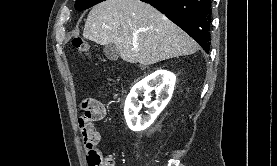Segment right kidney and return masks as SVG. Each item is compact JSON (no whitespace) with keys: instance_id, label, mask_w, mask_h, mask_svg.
Returning <instances> with one entry per match:
<instances>
[{"instance_id":"ca27d5eb","label":"right kidney","mask_w":277,"mask_h":166,"mask_svg":"<svg viewBox=\"0 0 277 166\" xmlns=\"http://www.w3.org/2000/svg\"><path fill=\"white\" fill-rule=\"evenodd\" d=\"M174 85L175 76L165 70H158L135 84L126 98L124 107L128 127L135 132L148 128L170 101ZM154 89L159 97L151 102L150 92ZM142 93L145 97L142 103L150 109L148 115L143 118L138 115L142 103L139 101V105L137 104L138 95Z\"/></svg>"}]
</instances>
